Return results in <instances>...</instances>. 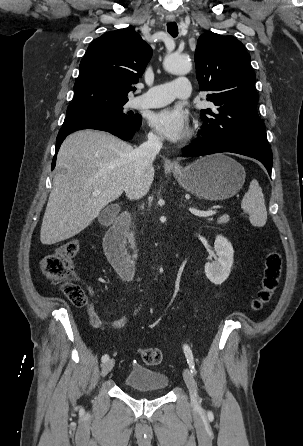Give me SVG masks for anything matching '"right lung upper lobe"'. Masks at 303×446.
I'll list each match as a JSON object with an SVG mask.
<instances>
[{"label": "right lung upper lobe", "mask_w": 303, "mask_h": 446, "mask_svg": "<svg viewBox=\"0 0 303 446\" xmlns=\"http://www.w3.org/2000/svg\"><path fill=\"white\" fill-rule=\"evenodd\" d=\"M152 56L151 47L129 29L103 34L88 47L74 84V99L67 110L127 102Z\"/></svg>", "instance_id": "1"}]
</instances>
